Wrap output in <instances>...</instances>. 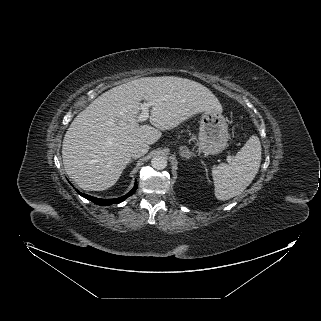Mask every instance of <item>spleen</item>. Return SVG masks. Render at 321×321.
<instances>
[{
  "instance_id": "spleen-1",
  "label": "spleen",
  "mask_w": 321,
  "mask_h": 321,
  "mask_svg": "<svg viewBox=\"0 0 321 321\" xmlns=\"http://www.w3.org/2000/svg\"><path fill=\"white\" fill-rule=\"evenodd\" d=\"M260 163V140L251 136L231 163L212 167L215 197L224 201L240 194L255 178Z\"/></svg>"
}]
</instances>
